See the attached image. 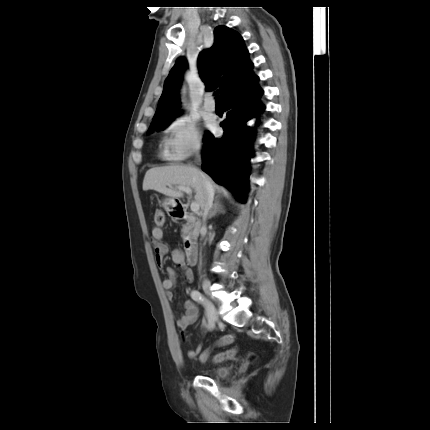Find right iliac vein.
I'll list each match as a JSON object with an SVG mask.
<instances>
[{"label":"right iliac vein","instance_id":"right-iliac-vein-1","mask_svg":"<svg viewBox=\"0 0 430 430\" xmlns=\"http://www.w3.org/2000/svg\"><path fill=\"white\" fill-rule=\"evenodd\" d=\"M203 290L206 294L210 295V281L208 279H204L202 282ZM209 311L213 314L214 318L217 316V311L213 303H209L208 305Z\"/></svg>","mask_w":430,"mask_h":430}]
</instances>
